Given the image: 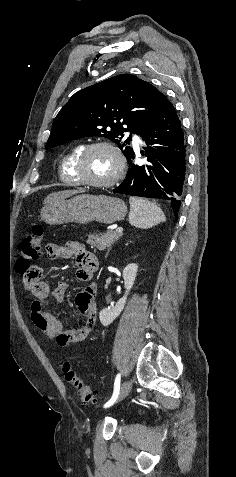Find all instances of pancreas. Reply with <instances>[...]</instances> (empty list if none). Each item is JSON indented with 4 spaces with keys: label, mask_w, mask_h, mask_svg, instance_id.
Returning <instances> with one entry per match:
<instances>
[{
    "label": "pancreas",
    "mask_w": 236,
    "mask_h": 477,
    "mask_svg": "<svg viewBox=\"0 0 236 477\" xmlns=\"http://www.w3.org/2000/svg\"><path fill=\"white\" fill-rule=\"evenodd\" d=\"M121 237V234L117 232L107 231L100 234H89L87 244L92 247H96L98 250L103 251L111 246Z\"/></svg>",
    "instance_id": "obj_1"
}]
</instances>
